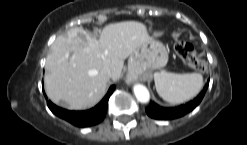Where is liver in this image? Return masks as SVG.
<instances>
[{"instance_id": "1", "label": "liver", "mask_w": 247, "mask_h": 145, "mask_svg": "<svg viewBox=\"0 0 247 145\" xmlns=\"http://www.w3.org/2000/svg\"><path fill=\"white\" fill-rule=\"evenodd\" d=\"M144 24L124 21L107 25L96 39L81 28H71L59 35L46 58L48 74L44 77L48 98L71 110L93 107L105 95L110 78H120L124 60L135 49L150 41Z\"/></svg>"}]
</instances>
